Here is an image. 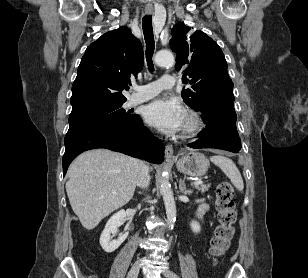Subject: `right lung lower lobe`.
<instances>
[{"label": "right lung lower lobe", "instance_id": "right-lung-lower-lobe-1", "mask_svg": "<svg viewBox=\"0 0 308 278\" xmlns=\"http://www.w3.org/2000/svg\"><path fill=\"white\" fill-rule=\"evenodd\" d=\"M107 148L152 163H162L164 145L143 125L138 116L133 122H103L86 120L70 124L65 136L63 174L80 153Z\"/></svg>", "mask_w": 308, "mask_h": 278}]
</instances>
